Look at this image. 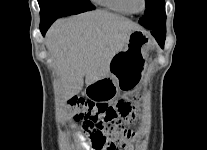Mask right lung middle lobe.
Segmentation results:
<instances>
[{"label": "right lung middle lobe", "mask_w": 207, "mask_h": 150, "mask_svg": "<svg viewBox=\"0 0 207 150\" xmlns=\"http://www.w3.org/2000/svg\"><path fill=\"white\" fill-rule=\"evenodd\" d=\"M41 22L93 10L89 0H38Z\"/></svg>", "instance_id": "obj_1"}]
</instances>
